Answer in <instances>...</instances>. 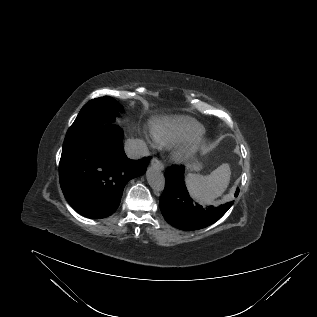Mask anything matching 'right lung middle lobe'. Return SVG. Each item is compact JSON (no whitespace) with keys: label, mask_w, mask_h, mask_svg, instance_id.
<instances>
[{"label":"right lung middle lobe","mask_w":317,"mask_h":317,"mask_svg":"<svg viewBox=\"0 0 317 317\" xmlns=\"http://www.w3.org/2000/svg\"><path fill=\"white\" fill-rule=\"evenodd\" d=\"M122 107L116 100L104 96L90 100L83 106L74 123L68 129L63 150L71 148L100 124L111 123L119 116Z\"/></svg>","instance_id":"right-lung-middle-lobe-1"}]
</instances>
